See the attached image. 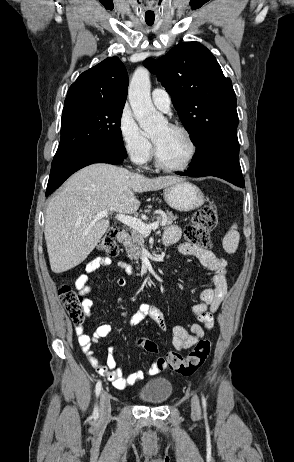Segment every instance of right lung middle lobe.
<instances>
[{"instance_id": "obj_1", "label": "right lung middle lobe", "mask_w": 294, "mask_h": 462, "mask_svg": "<svg viewBox=\"0 0 294 462\" xmlns=\"http://www.w3.org/2000/svg\"><path fill=\"white\" fill-rule=\"evenodd\" d=\"M124 104L104 101H78L65 104L57 152L72 147L97 144L123 146L120 121Z\"/></svg>"}]
</instances>
